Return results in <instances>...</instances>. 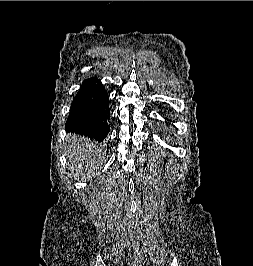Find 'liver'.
I'll return each mask as SVG.
<instances>
[{"label": "liver", "mask_w": 253, "mask_h": 266, "mask_svg": "<svg viewBox=\"0 0 253 266\" xmlns=\"http://www.w3.org/2000/svg\"><path fill=\"white\" fill-rule=\"evenodd\" d=\"M100 156L101 150L94 141L85 137H72L69 157L78 164V168H82L84 165L93 167L96 159H99Z\"/></svg>", "instance_id": "obj_1"}]
</instances>
